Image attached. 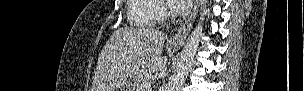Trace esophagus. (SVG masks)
<instances>
[{
	"instance_id": "1",
	"label": "esophagus",
	"mask_w": 304,
	"mask_h": 91,
	"mask_svg": "<svg viewBox=\"0 0 304 91\" xmlns=\"http://www.w3.org/2000/svg\"><path fill=\"white\" fill-rule=\"evenodd\" d=\"M199 7V0H195L193 11L189 18L177 29L175 34H173L168 43L173 46H182L189 32L191 31L193 22L195 20L197 11Z\"/></svg>"
}]
</instances>
